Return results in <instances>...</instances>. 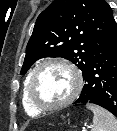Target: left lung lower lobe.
<instances>
[{
  "label": "left lung lower lobe",
  "mask_w": 117,
  "mask_h": 131,
  "mask_svg": "<svg viewBox=\"0 0 117 131\" xmlns=\"http://www.w3.org/2000/svg\"><path fill=\"white\" fill-rule=\"evenodd\" d=\"M80 97L73 103L97 104L117 117V25L112 17L104 45L83 74Z\"/></svg>",
  "instance_id": "1"
}]
</instances>
